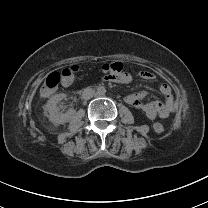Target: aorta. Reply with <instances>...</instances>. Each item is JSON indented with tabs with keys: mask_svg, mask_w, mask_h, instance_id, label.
<instances>
[{
	"mask_svg": "<svg viewBox=\"0 0 208 208\" xmlns=\"http://www.w3.org/2000/svg\"><path fill=\"white\" fill-rule=\"evenodd\" d=\"M107 93V88L105 86H100L96 89V94L98 96H104Z\"/></svg>",
	"mask_w": 208,
	"mask_h": 208,
	"instance_id": "obj_1",
	"label": "aorta"
}]
</instances>
